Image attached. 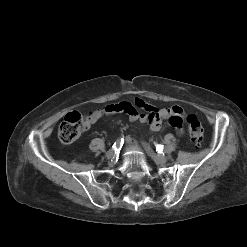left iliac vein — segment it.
Returning <instances> with one entry per match:
<instances>
[{
	"label": "left iliac vein",
	"instance_id": "1",
	"mask_svg": "<svg viewBox=\"0 0 247 247\" xmlns=\"http://www.w3.org/2000/svg\"><path fill=\"white\" fill-rule=\"evenodd\" d=\"M144 146L147 154L151 156L156 163L165 164L168 161V158L166 156L154 153V151L148 145H144Z\"/></svg>",
	"mask_w": 247,
	"mask_h": 247
}]
</instances>
